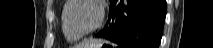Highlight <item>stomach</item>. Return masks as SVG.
I'll list each match as a JSON object with an SVG mask.
<instances>
[{"label": "stomach", "mask_w": 213, "mask_h": 48, "mask_svg": "<svg viewBox=\"0 0 213 48\" xmlns=\"http://www.w3.org/2000/svg\"><path fill=\"white\" fill-rule=\"evenodd\" d=\"M104 46H111L109 42L107 41H99L95 43L93 46L88 48H103Z\"/></svg>", "instance_id": "1"}]
</instances>
